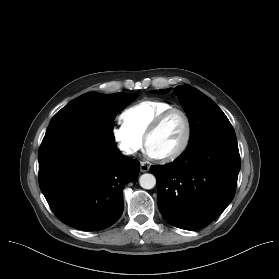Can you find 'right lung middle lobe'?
<instances>
[{"mask_svg":"<svg viewBox=\"0 0 279 279\" xmlns=\"http://www.w3.org/2000/svg\"><path fill=\"white\" fill-rule=\"evenodd\" d=\"M136 94H83L51 119L45 136L64 130H83L93 136L114 143L113 121L124 106L135 100Z\"/></svg>","mask_w":279,"mask_h":279,"instance_id":"right-lung-middle-lobe-1","label":"right lung middle lobe"}]
</instances>
